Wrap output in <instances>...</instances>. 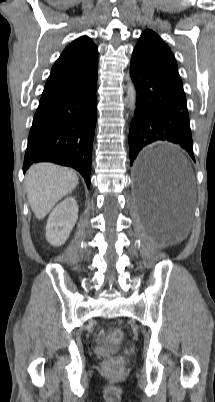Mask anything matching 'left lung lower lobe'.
<instances>
[{"instance_id":"0a47b994","label":"left lung lower lobe","mask_w":215,"mask_h":402,"mask_svg":"<svg viewBox=\"0 0 215 402\" xmlns=\"http://www.w3.org/2000/svg\"><path fill=\"white\" fill-rule=\"evenodd\" d=\"M131 78L136 87V112L129 130L130 162L154 142L173 143L185 149L194 159L193 141L183 84L175 78L131 60ZM142 179L153 177L150 171H139ZM170 201L175 195L162 186Z\"/></svg>"}]
</instances>
